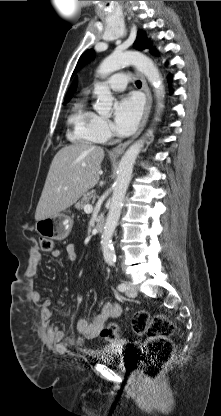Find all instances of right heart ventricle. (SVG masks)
Instances as JSON below:
<instances>
[{
	"label": "right heart ventricle",
	"mask_w": 221,
	"mask_h": 416,
	"mask_svg": "<svg viewBox=\"0 0 221 416\" xmlns=\"http://www.w3.org/2000/svg\"><path fill=\"white\" fill-rule=\"evenodd\" d=\"M97 115L87 106L84 100L77 102L69 121L72 126L71 138L75 142L99 143L103 141L96 131Z\"/></svg>",
	"instance_id": "e07e8e85"
}]
</instances>
